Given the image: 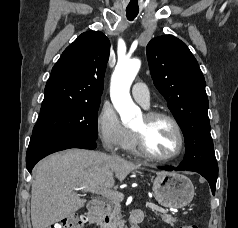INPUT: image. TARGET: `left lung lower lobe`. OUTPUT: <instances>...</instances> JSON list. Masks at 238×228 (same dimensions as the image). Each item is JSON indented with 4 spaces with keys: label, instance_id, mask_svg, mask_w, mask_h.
Returning <instances> with one entry per match:
<instances>
[{
    "label": "left lung lower lobe",
    "instance_id": "obj_1",
    "mask_svg": "<svg viewBox=\"0 0 238 228\" xmlns=\"http://www.w3.org/2000/svg\"><path fill=\"white\" fill-rule=\"evenodd\" d=\"M162 170H167V171H194L199 174H201L210 184L211 190L213 195L215 194V189H216V181H217V176H218V170H212L204 167H191L187 168L182 165H179L176 168L170 167V166H165V167H160Z\"/></svg>",
    "mask_w": 238,
    "mask_h": 228
}]
</instances>
